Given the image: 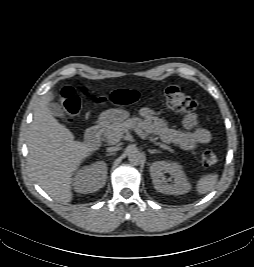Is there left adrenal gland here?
Segmentation results:
<instances>
[{"instance_id":"a2214340","label":"left adrenal gland","mask_w":254,"mask_h":267,"mask_svg":"<svg viewBox=\"0 0 254 267\" xmlns=\"http://www.w3.org/2000/svg\"><path fill=\"white\" fill-rule=\"evenodd\" d=\"M148 152L150 154H155V153H160V151L156 150V149H148Z\"/></svg>"}]
</instances>
